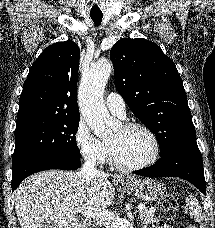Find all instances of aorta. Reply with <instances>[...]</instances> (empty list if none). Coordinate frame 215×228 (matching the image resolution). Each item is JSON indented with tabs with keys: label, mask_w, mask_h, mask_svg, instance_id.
<instances>
[{
	"label": "aorta",
	"mask_w": 215,
	"mask_h": 228,
	"mask_svg": "<svg viewBox=\"0 0 215 228\" xmlns=\"http://www.w3.org/2000/svg\"><path fill=\"white\" fill-rule=\"evenodd\" d=\"M113 64L109 60H99L92 66L88 78H84L79 90L80 112L96 136H106L112 132L113 120L105 108L102 100V90L110 74Z\"/></svg>",
	"instance_id": "762f6f07"
}]
</instances>
